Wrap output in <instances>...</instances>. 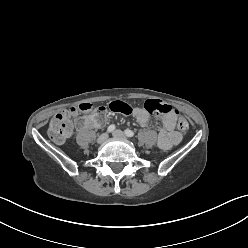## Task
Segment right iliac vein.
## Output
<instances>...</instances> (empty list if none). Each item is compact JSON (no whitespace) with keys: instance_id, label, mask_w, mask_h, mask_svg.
I'll return each instance as SVG.
<instances>
[{"instance_id":"63e3f726","label":"right iliac vein","mask_w":248,"mask_h":248,"mask_svg":"<svg viewBox=\"0 0 248 248\" xmlns=\"http://www.w3.org/2000/svg\"><path fill=\"white\" fill-rule=\"evenodd\" d=\"M108 139V134L107 133H103L102 135H100L97 139V143L98 144H102L104 143L106 140Z\"/></svg>"}]
</instances>
